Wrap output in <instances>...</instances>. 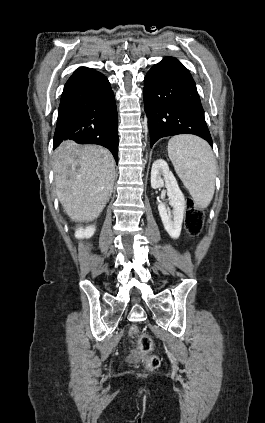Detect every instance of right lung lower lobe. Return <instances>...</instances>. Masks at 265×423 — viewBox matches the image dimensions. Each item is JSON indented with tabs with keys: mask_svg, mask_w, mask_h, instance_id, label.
Segmentation results:
<instances>
[{
	"mask_svg": "<svg viewBox=\"0 0 265 423\" xmlns=\"http://www.w3.org/2000/svg\"><path fill=\"white\" fill-rule=\"evenodd\" d=\"M65 140L104 146L118 163L114 94L107 78L93 69L78 68L64 86L53 147Z\"/></svg>",
	"mask_w": 265,
	"mask_h": 423,
	"instance_id": "98d812e1",
	"label": "right lung lower lobe"
}]
</instances>
